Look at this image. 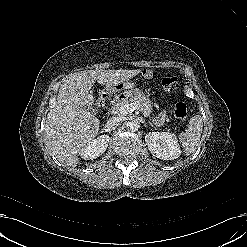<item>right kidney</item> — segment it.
Segmentation results:
<instances>
[{"label": "right kidney", "mask_w": 247, "mask_h": 247, "mask_svg": "<svg viewBox=\"0 0 247 247\" xmlns=\"http://www.w3.org/2000/svg\"><path fill=\"white\" fill-rule=\"evenodd\" d=\"M110 137L101 135L91 139L85 146L80 149V156L85 160H93L101 156L107 149Z\"/></svg>", "instance_id": "obj_1"}]
</instances>
